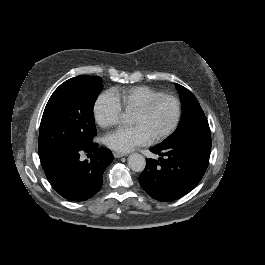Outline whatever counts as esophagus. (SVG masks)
Wrapping results in <instances>:
<instances>
[{
  "label": "esophagus",
  "mask_w": 265,
  "mask_h": 265,
  "mask_svg": "<svg viewBox=\"0 0 265 265\" xmlns=\"http://www.w3.org/2000/svg\"><path fill=\"white\" fill-rule=\"evenodd\" d=\"M113 155L116 158H120V157L126 156V154L125 153H122V152H114Z\"/></svg>",
  "instance_id": "obj_1"
}]
</instances>
